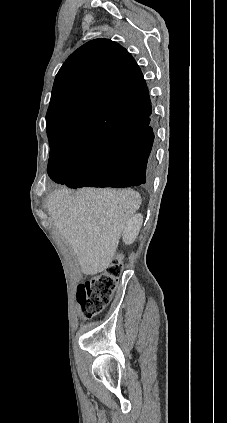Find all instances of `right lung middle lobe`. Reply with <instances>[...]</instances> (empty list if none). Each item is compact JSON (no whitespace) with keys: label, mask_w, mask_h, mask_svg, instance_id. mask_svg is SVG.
<instances>
[{"label":"right lung middle lobe","mask_w":227,"mask_h":423,"mask_svg":"<svg viewBox=\"0 0 227 423\" xmlns=\"http://www.w3.org/2000/svg\"><path fill=\"white\" fill-rule=\"evenodd\" d=\"M84 155V152L76 151L63 145L50 142L49 163L58 160H67L68 162H72L74 165L78 163L84 157ZM77 166L74 167L73 171L77 168Z\"/></svg>","instance_id":"1"}]
</instances>
